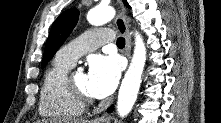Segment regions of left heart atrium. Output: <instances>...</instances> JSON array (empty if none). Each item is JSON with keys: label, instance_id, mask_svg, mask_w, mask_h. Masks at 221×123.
Segmentation results:
<instances>
[{"label": "left heart atrium", "instance_id": "obj_1", "mask_svg": "<svg viewBox=\"0 0 221 123\" xmlns=\"http://www.w3.org/2000/svg\"><path fill=\"white\" fill-rule=\"evenodd\" d=\"M121 66L115 56L97 55L89 62L88 81L90 91L96 98L110 95L120 78Z\"/></svg>", "mask_w": 221, "mask_h": 123}]
</instances>
